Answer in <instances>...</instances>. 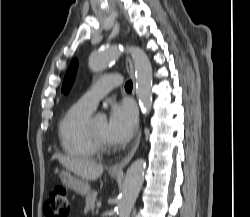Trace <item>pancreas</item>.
Here are the masks:
<instances>
[{
    "label": "pancreas",
    "mask_w": 250,
    "mask_h": 217,
    "mask_svg": "<svg viewBox=\"0 0 250 217\" xmlns=\"http://www.w3.org/2000/svg\"><path fill=\"white\" fill-rule=\"evenodd\" d=\"M96 191H90L85 200V212H94L95 209V202H96Z\"/></svg>",
    "instance_id": "cf45deb5"
}]
</instances>
